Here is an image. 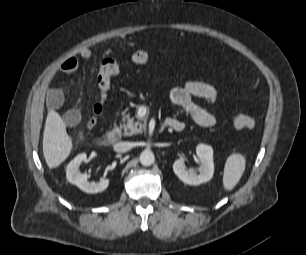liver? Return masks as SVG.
I'll return each instance as SVG.
<instances>
[{
  "label": "liver",
  "instance_id": "liver-1",
  "mask_svg": "<svg viewBox=\"0 0 306 255\" xmlns=\"http://www.w3.org/2000/svg\"><path fill=\"white\" fill-rule=\"evenodd\" d=\"M72 148L73 143L67 134L66 124L56 111L50 110L43 135V155L48 167H58L68 158Z\"/></svg>",
  "mask_w": 306,
  "mask_h": 255
}]
</instances>
